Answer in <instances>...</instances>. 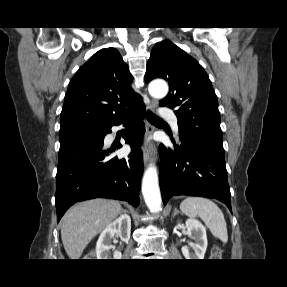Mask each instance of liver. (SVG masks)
Here are the masks:
<instances>
[{"instance_id":"1","label":"liver","mask_w":287,"mask_h":287,"mask_svg":"<svg viewBox=\"0 0 287 287\" xmlns=\"http://www.w3.org/2000/svg\"><path fill=\"white\" fill-rule=\"evenodd\" d=\"M122 212L119 202L94 199L71 207L63 217L61 239L70 259H79L87 244Z\"/></svg>"}]
</instances>
